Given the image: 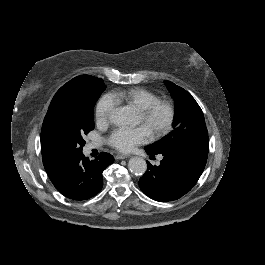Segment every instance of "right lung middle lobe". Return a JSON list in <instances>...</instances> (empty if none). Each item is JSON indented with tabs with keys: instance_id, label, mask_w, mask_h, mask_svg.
Instances as JSON below:
<instances>
[{
	"instance_id": "dd1d6c3e",
	"label": "right lung middle lobe",
	"mask_w": 265,
	"mask_h": 265,
	"mask_svg": "<svg viewBox=\"0 0 265 265\" xmlns=\"http://www.w3.org/2000/svg\"><path fill=\"white\" fill-rule=\"evenodd\" d=\"M106 86L102 79L88 76L69 83L42 125V156L59 163L82 153L83 135L94 129L93 108Z\"/></svg>"
}]
</instances>
